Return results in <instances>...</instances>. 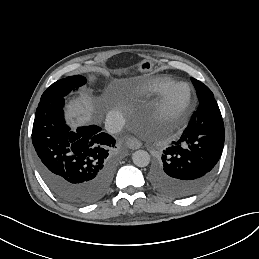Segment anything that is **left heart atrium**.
I'll return each instance as SVG.
<instances>
[{"instance_id":"1","label":"left heart atrium","mask_w":259,"mask_h":259,"mask_svg":"<svg viewBox=\"0 0 259 259\" xmlns=\"http://www.w3.org/2000/svg\"><path fill=\"white\" fill-rule=\"evenodd\" d=\"M180 148L179 147H177V146H171V147H168L167 148V151L168 152H170V153H178V152H180Z\"/></svg>"}]
</instances>
